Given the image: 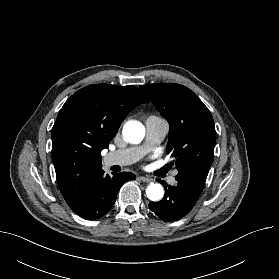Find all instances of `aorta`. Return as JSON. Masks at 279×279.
Wrapping results in <instances>:
<instances>
[{"mask_svg": "<svg viewBox=\"0 0 279 279\" xmlns=\"http://www.w3.org/2000/svg\"><path fill=\"white\" fill-rule=\"evenodd\" d=\"M144 135L145 128L142 123L138 121H128L123 127V136L130 143H140ZM146 195L151 201H158L164 195L163 187L157 183H150L146 189Z\"/></svg>", "mask_w": 279, "mask_h": 279, "instance_id": "obj_1", "label": "aorta"}]
</instances>
